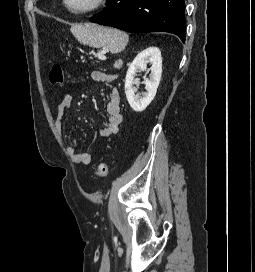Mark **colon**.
Masks as SVG:
<instances>
[{"label":"colon","instance_id":"5ec220e1","mask_svg":"<svg viewBox=\"0 0 255 272\" xmlns=\"http://www.w3.org/2000/svg\"><path fill=\"white\" fill-rule=\"evenodd\" d=\"M49 80L55 85H62L64 83L63 69L60 64H54L51 67ZM96 174L99 178H105L108 175V165L106 162L102 161L98 163Z\"/></svg>","mask_w":255,"mask_h":272}]
</instances>
